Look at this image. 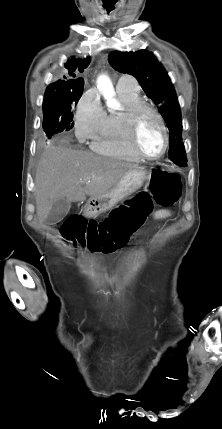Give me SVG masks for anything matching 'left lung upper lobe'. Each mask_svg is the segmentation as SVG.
<instances>
[{"label": "left lung upper lobe", "instance_id": "5c2ea615", "mask_svg": "<svg viewBox=\"0 0 222 429\" xmlns=\"http://www.w3.org/2000/svg\"><path fill=\"white\" fill-rule=\"evenodd\" d=\"M108 60L115 70L133 75L147 96L159 105L158 110L169 129V159L175 163L187 164L185 146L181 139L182 119L177 95L167 72L154 54L147 50L114 51Z\"/></svg>", "mask_w": 222, "mask_h": 429}]
</instances>
